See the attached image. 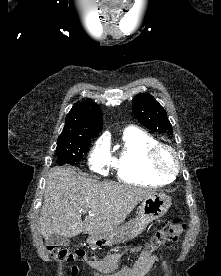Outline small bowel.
Returning <instances> with one entry per match:
<instances>
[{
    "mask_svg": "<svg viewBox=\"0 0 221 276\" xmlns=\"http://www.w3.org/2000/svg\"><path fill=\"white\" fill-rule=\"evenodd\" d=\"M138 251L140 248L135 247L131 252ZM122 255L123 253H116L104 258L95 257L88 265L94 276H145L158 261L155 248L146 247L140 251L138 259L131 266L118 269ZM161 267L164 271L167 270L165 262L161 263Z\"/></svg>",
    "mask_w": 221,
    "mask_h": 276,
    "instance_id": "obj_1",
    "label": "small bowel"
}]
</instances>
